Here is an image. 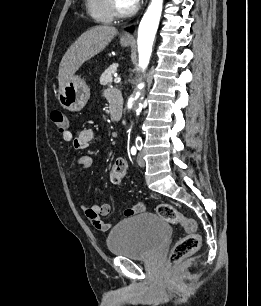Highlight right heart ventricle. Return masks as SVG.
Wrapping results in <instances>:
<instances>
[{
	"mask_svg": "<svg viewBox=\"0 0 261 306\" xmlns=\"http://www.w3.org/2000/svg\"><path fill=\"white\" fill-rule=\"evenodd\" d=\"M85 3L88 14L95 21L110 23L114 19L108 0H85Z\"/></svg>",
	"mask_w": 261,
	"mask_h": 306,
	"instance_id": "obj_1",
	"label": "right heart ventricle"
}]
</instances>
